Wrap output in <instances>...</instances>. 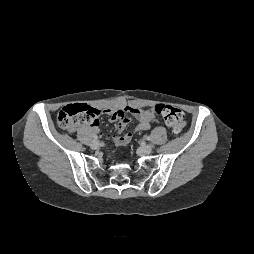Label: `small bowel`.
<instances>
[{"label": "small bowel", "mask_w": 254, "mask_h": 254, "mask_svg": "<svg viewBox=\"0 0 254 254\" xmlns=\"http://www.w3.org/2000/svg\"><path fill=\"white\" fill-rule=\"evenodd\" d=\"M97 110L99 114L107 115L111 122H117V130L119 133L124 131L130 122V118L126 116L127 113L131 114L138 120L137 126L131 132L125 133L122 136L109 134L107 135L109 139H112L117 143H119L121 138H125L128 142H130L134 133L148 130L155 118L154 114L150 113L148 109H142L135 105H128L124 100H119L115 105L103 110ZM99 125L100 122L98 119L91 124V127L96 132H100Z\"/></svg>", "instance_id": "small-bowel-1"}]
</instances>
